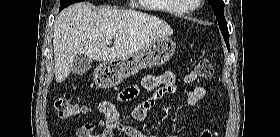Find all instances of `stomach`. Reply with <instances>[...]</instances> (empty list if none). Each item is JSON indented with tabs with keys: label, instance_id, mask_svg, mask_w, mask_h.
Masks as SVG:
<instances>
[{
	"label": "stomach",
	"instance_id": "1",
	"mask_svg": "<svg viewBox=\"0 0 280 137\" xmlns=\"http://www.w3.org/2000/svg\"><path fill=\"white\" fill-rule=\"evenodd\" d=\"M175 49L176 45L171 39H158L132 56L100 64L95 82L102 88L113 87L142 69L165 64L173 57Z\"/></svg>",
	"mask_w": 280,
	"mask_h": 137
}]
</instances>
